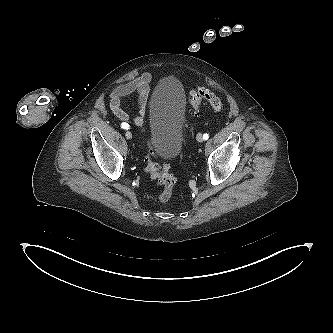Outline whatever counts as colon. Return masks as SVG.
I'll use <instances>...</instances> for the list:
<instances>
[{"label":"colon","instance_id":"5ec220e1","mask_svg":"<svg viewBox=\"0 0 333 333\" xmlns=\"http://www.w3.org/2000/svg\"><path fill=\"white\" fill-rule=\"evenodd\" d=\"M203 104H208L215 111L223 109V101L220 97L203 87H195L190 92V111L197 115ZM146 172L152 180L157 181L162 189L158 195L161 202H167L176 184V178L170 173V165L160 164L155 160V150L151 143L147 147Z\"/></svg>","mask_w":333,"mask_h":333}]
</instances>
